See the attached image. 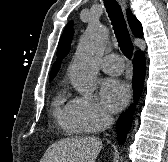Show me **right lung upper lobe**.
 <instances>
[{
	"instance_id": "1",
	"label": "right lung upper lobe",
	"mask_w": 168,
	"mask_h": 162,
	"mask_svg": "<svg viewBox=\"0 0 168 162\" xmlns=\"http://www.w3.org/2000/svg\"><path fill=\"white\" fill-rule=\"evenodd\" d=\"M127 19L134 35L139 38L142 37L143 35L142 25L129 9L127 10ZM72 34H73V26L72 22H69L68 25L65 27L64 32L60 38L57 49V60L52 66L49 80H52L55 77L56 73L60 69L61 60L67 55L69 51L72 40Z\"/></svg>"
}]
</instances>
